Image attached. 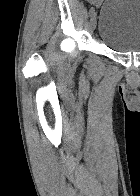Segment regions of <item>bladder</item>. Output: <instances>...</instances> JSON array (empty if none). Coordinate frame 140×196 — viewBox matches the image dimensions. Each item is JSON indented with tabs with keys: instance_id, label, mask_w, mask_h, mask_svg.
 I'll return each instance as SVG.
<instances>
[{
	"instance_id": "1",
	"label": "bladder",
	"mask_w": 140,
	"mask_h": 196,
	"mask_svg": "<svg viewBox=\"0 0 140 196\" xmlns=\"http://www.w3.org/2000/svg\"><path fill=\"white\" fill-rule=\"evenodd\" d=\"M99 37L115 52H140V0H105L100 12Z\"/></svg>"
}]
</instances>
